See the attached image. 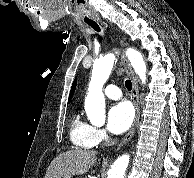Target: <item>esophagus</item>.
<instances>
[{
    "label": "esophagus",
    "mask_w": 194,
    "mask_h": 178,
    "mask_svg": "<svg viewBox=\"0 0 194 178\" xmlns=\"http://www.w3.org/2000/svg\"><path fill=\"white\" fill-rule=\"evenodd\" d=\"M121 46H123L122 43H121ZM121 59H122V63L124 65L128 75L130 76L131 81H132V86H133V88H132V100H133L136 114H135V119H134V122H133L130 130L125 135V137L122 139V141L118 144L117 150L120 149L124 144H126L133 137V135L136 131V128L138 126L139 119H140L139 91H138L137 79L135 77L134 71H133L132 67L130 66L122 48H121Z\"/></svg>",
    "instance_id": "esophagus-1"
}]
</instances>
